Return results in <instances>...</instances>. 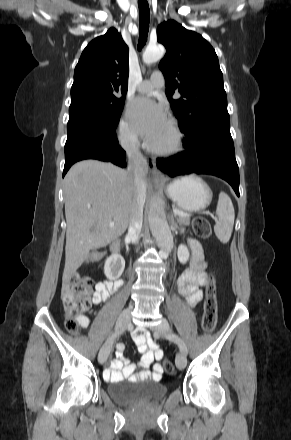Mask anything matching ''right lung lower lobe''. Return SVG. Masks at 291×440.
<instances>
[{
  "instance_id": "1",
  "label": "right lung lower lobe",
  "mask_w": 291,
  "mask_h": 440,
  "mask_svg": "<svg viewBox=\"0 0 291 440\" xmlns=\"http://www.w3.org/2000/svg\"><path fill=\"white\" fill-rule=\"evenodd\" d=\"M84 159H97L112 162L120 167L126 166V153L119 146L115 132L108 134L90 130L68 132L63 176L75 162Z\"/></svg>"
}]
</instances>
